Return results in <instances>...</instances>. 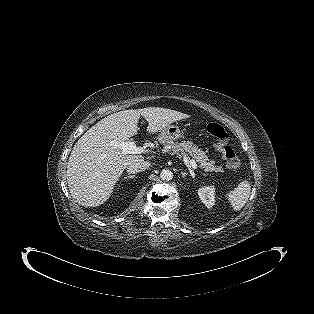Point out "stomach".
Here are the masks:
<instances>
[{
	"label": "stomach",
	"mask_w": 314,
	"mask_h": 314,
	"mask_svg": "<svg viewBox=\"0 0 314 314\" xmlns=\"http://www.w3.org/2000/svg\"><path fill=\"white\" fill-rule=\"evenodd\" d=\"M183 137L178 126L168 125L159 131L158 140L160 143H164L168 140H178Z\"/></svg>",
	"instance_id": "1"
}]
</instances>
